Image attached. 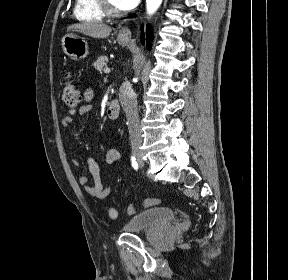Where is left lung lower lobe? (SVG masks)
Masks as SVG:
<instances>
[{
  "label": "left lung lower lobe",
  "instance_id": "obj_1",
  "mask_svg": "<svg viewBox=\"0 0 288 280\" xmlns=\"http://www.w3.org/2000/svg\"><path fill=\"white\" fill-rule=\"evenodd\" d=\"M152 38H153V37H152V31L149 30V31L146 33L147 48H150V43H151V41H152ZM140 40H141V43L144 44V42H145L144 33H142Z\"/></svg>",
  "mask_w": 288,
  "mask_h": 280
}]
</instances>
